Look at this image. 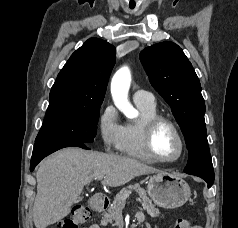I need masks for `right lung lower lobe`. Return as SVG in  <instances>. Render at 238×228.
<instances>
[{"label":"right lung lower lobe","instance_id":"1","mask_svg":"<svg viewBox=\"0 0 238 228\" xmlns=\"http://www.w3.org/2000/svg\"><path fill=\"white\" fill-rule=\"evenodd\" d=\"M76 146L84 149H88V147L83 142L78 141H63V142H56V143H40L35 144L31 159L30 171H33L35 166L46 156L49 154L65 148Z\"/></svg>","mask_w":238,"mask_h":228}]
</instances>
